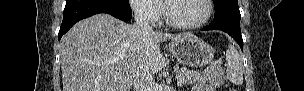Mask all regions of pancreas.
<instances>
[{"label":"pancreas","instance_id":"obj_1","mask_svg":"<svg viewBox=\"0 0 304 91\" xmlns=\"http://www.w3.org/2000/svg\"><path fill=\"white\" fill-rule=\"evenodd\" d=\"M178 79L182 78L183 84H193L197 82H209L221 85L224 82V70L219 65H211L203 71H190L187 68H175Z\"/></svg>","mask_w":304,"mask_h":91}]
</instances>
